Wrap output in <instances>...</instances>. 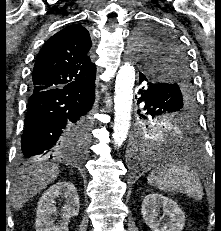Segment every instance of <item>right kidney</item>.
<instances>
[{
	"mask_svg": "<svg viewBox=\"0 0 221 231\" xmlns=\"http://www.w3.org/2000/svg\"><path fill=\"white\" fill-rule=\"evenodd\" d=\"M65 201L62 207V220L54 224L53 215L58 214L55 200ZM80 209V202L77 190L71 182L60 181L48 188L41 196L36 215V231H68V221L77 216Z\"/></svg>",
	"mask_w": 221,
	"mask_h": 231,
	"instance_id": "obj_1",
	"label": "right kidney"
}]
</instances>
